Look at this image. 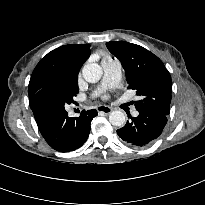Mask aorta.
I'll return each instance as SVG.
<instances>
[{"instance_id":"obj_1","label":"aorta","mask_w":205,"mask_h":205,"mask_svg":"<svg viewBox=\"0 0 205 205\" xmlns=\"http://www.w3.org/2000/svg\"><path fill=\"white\" fill-rule=\"evenodd\" d=\"M102 68L97 63H87L83 66V78L89 83H96L102 77ZM109 121L113 126L122 127L126 122L125 114L120 110H114L109 114Z\"/></svg>"}]
</instances>
